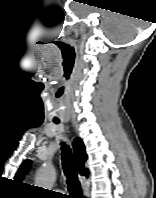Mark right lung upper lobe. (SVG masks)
Segmentation results:
<instances>
[{"label":"right lung upper lobe","mask_w":156,"mask_h":198,"mask_svg":"<svg viewBox=\"0 0 156 198\" xmlns=\"http://www.w3.org/2000/svg\"><path fill=\"white\" fill-rule=\"evenodd\" d=\"M73 149H74V157L76 160V164L78 166V172L80 175L88 176V170L84 167V163L87 159V154L85 152V146L82 140L77 137L73 141ZM31 162L29 160L22 163L20 169L18 170L15 180L21 182L24 174L27 172L28 168L30 167Z\"/></svg>","instance_id":"cb5924a9"}]
</instances>
